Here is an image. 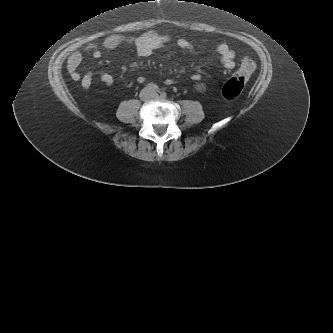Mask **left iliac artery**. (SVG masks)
Returning <instances> with one entry per match:
<instances>
[{
	"label": "left iliac artery",
	"mask_w": 333,
	"mask_h": 333,
	"mask_svg": "<svg viewBox=\"0 0 333 333\" xmlns=\"http://www.w3.org/2000/svg\"><path fill=\"white\" fill-rule=\"evenodd\" d=\"M161 96H162L163 98H166V93H165V92H162V93H161Z\"/></svg>",
	"instance_id": "left-iliac-artery-1"
}]
</instances>
